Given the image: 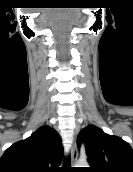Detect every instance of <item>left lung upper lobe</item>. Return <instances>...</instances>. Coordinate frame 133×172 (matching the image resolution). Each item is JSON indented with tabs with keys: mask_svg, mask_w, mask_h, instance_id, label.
I'll list each match as a JSON object with an SVG mask.
<instances>
[{
	"mask_svg": "<svg viewBox=\"0 0 133 172\" xmlns=\"http://www.w3.org/2000/svg\"><path fill=\"white\" fill-rule=\"evenodd\" d=\"M77 142L85 144L90 164L87 172H133V150L122 138L89 125L80 132Z\"/></svg>",
	"mask_w": 133,
	"mask_h": 172,
	"instance_id": "left-lung-upper-lobe-1",
	"label": "left lung upper lobe"
}]
</instances>
